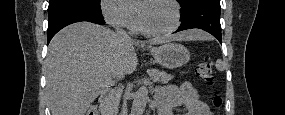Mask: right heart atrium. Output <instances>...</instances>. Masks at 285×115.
<instances>
[{
  "label": "right heart atrium",
  "instance_id": "obj_1",
  "mask_svg": "<svg viewBox=\"0 0 285 115\" xmlns=\"http://www.w3.org/2000/svg\"><path fill=\"white\" fill-rule=\"evenodd\" d=\"M101 10L105 20L110 25L117 28L135 30L137 22L134 14L120 1L103 0L101 2Z\"/></svg>",
  "mask_w": 285,
  "mask_h": 115
}]
</instances>
